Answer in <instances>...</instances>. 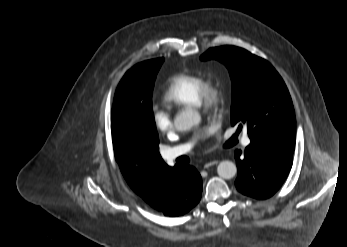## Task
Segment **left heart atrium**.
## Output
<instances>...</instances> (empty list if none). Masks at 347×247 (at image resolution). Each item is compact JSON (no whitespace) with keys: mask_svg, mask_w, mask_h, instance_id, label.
I'll return each instance as SVG.
<instances>
[{"mask_svg":"<svg viewBox=\"0 0 347 247\" xmlns=\"http://www.w3.org/2000/svg\"><path fill=\"white\" fill-rule=\"evenodd\" d=\"M212 130H213L212 126H206L201 130V132L199 133V136L205 137V136L209 135L212 132Z\"/></svg>","mask_w":347,"mask_h":247,"instance_id":"left-heart-atrium-1","label":"left heart atrium"}]
</instances>
